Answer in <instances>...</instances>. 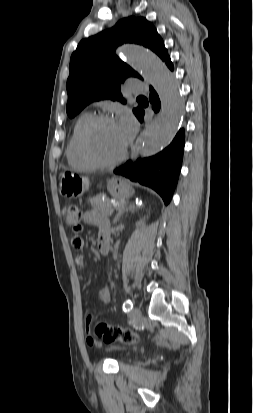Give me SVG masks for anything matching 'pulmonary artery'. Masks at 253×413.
<instances>
[{"label":"pulmonary artery","mask_w":253,"mask_h":413,"mask_svg":"<svg viewBox=\"0 0 253 413\" xmlns=\"http://www.w3.org/2000/svg\"><path fill=\"white\" fill-rule=\"evenodd\" d=\"M129 89L135 94H145L148 92L144 84L135 81L130 82Z\"/></svg>","instance_id":"e3ab8cb5"}]
</instances>
